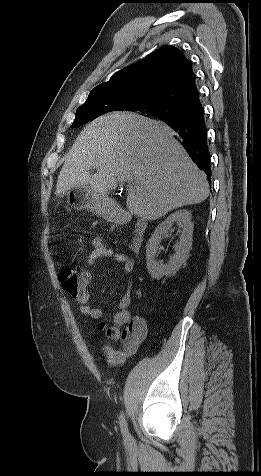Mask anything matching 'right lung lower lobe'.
<instances>
[{
	"label": "right lung lower lobe",
	"instance_id": "obj_1",
	"mask_svg": "<svg viewBox=\"0 0 261 476\" xmlns=\"http://www.w3.org/2000/svg\"><path fill=\"white\" fill-rule=\"evenodd\" d=\"M176 133L192 160L210 178V154L207 146V129L204 109L200 101L171 120L164 121Z\"/></svg>",
	"mask_w": 261,
	"mask_h": 476
}]
</instances>
